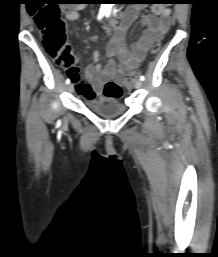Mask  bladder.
Returning a JSON list of instances; mask_svg holds the SVG:
<instances>
[{
    "label": "bladder",
    "instance_id": "31cf9c89",
    "mask_svg": "<svg viewBox=\"0 0 218 257\" xmlns=\"http://www.w3.org/2000/svg\"><path fill=\"white\" fill-rule=\"evenodd\" d=\"M85 105L93 112L103 117H113L125 112V105L116 97L101 96L84 101Z\"/></svg>",
    "mask_w": 218,
    "mask_h": 257
}]
</instances>
